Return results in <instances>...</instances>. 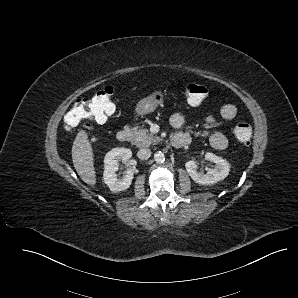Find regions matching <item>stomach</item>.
Here are the masks:
<instances>
[{"label":"stomach","mask_w":298,"mask_h":298,"mask_svg":"<svg viewBox=\"0 0 298 298\" xmlns=\"http://www.w3.org/2000/svg\"><path fill=\"white\" fill-rule=\"evenodd\" d=\"M162 101L161 93H155L154 95L141 100L137 105V111L140 114H146L153 111L159 103Z\"/></svg>","instance_id":"obj_1"}]
</instances>
